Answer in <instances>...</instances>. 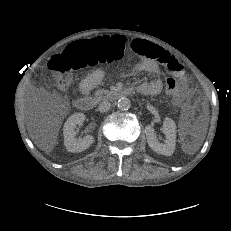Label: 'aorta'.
<instances>
[{
	"label": "aorta",
	"mask_w": 231,
	"mask_h": 231,
	"mask_svg": "<svg viewBox=\"0 0 231 231\" xmlns=\"http://www.w3.org/2000/svg\"><path fill=\"white\" fill-rule=\"evenodd\" d=\"M117 106L120 110H128L131 107V102L126 97L119 98Z\"/></svg>",
	"instance_id": "aorta-1"
}]
</instances>
